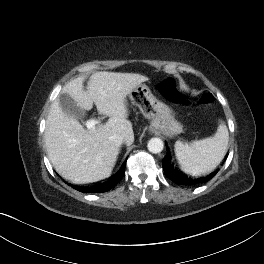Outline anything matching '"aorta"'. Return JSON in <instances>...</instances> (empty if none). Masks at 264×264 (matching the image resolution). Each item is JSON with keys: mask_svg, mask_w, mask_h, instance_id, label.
Listing matches in <instances>:
<instances>
[{"mask_svg": "<svg viewBox=\"0 0 264 264\" xmlns=\"http://www.w3.org/2000/svg\"><path fill=\"white\" fill-rule=\"evenodd\" d=\"M148 150L151 153H160L164 148V143L160 138H151L147 144Z\"/></svg>", "mask_w": 264, "mask_h": 264, "instance_id": "aorta-1", "label": "aorta"}]
</instances>
